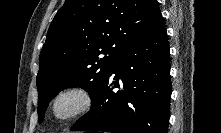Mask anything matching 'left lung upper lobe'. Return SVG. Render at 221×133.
I'll return each instance as SVG.
<instances>
[{
    "label": "left lung upper lobe",
    "mask_w": 221,
    "mask_h": 133,
    "mask_svg": "<svg viewBox=\"0 0 221 133\" xmlns=\"http://www.w3.org/2000/svg\"><path fill=\"white\" fill-rule=\"evenodd\" d=\"M160 17L156 0H66L40 53L39 121L49 101L67 87L80 86L93 99L121 50Z\"/></svg>",
    "instance_id": "left-lung-upper-lobe-1"
}]
</instances>
